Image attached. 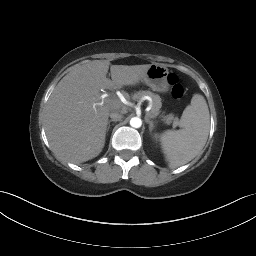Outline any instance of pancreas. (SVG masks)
I'll return each mask as SVG.
<instances>
[{"mask_svg": "<svg viewBox=\"0 0 256 256\" xmlns=\"http://www.w3.org/2000/svg\"><path fill=\"white\" fill-rule=\"evenodd\" d=\"M144 96H150L152 98V108L150 110V112L147 113V116L151 117V118H155L160 114V109L162 107V102H161V98L159 95L154 94L150 91H139L137 93H135L132 96L133 100H140L142 97ZM162 120L167 124L170 125L172 123L173 127H176L179 125V119L178 117H175L174 114H168V115H161Z\"/></svg>", "mask_w": 256, "mask_h": 256, "instance_id": "obj_1", "label": "pancreas"}]
</instances>
